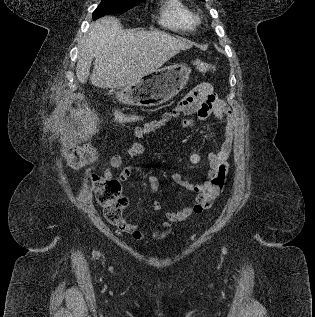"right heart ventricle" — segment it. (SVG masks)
<instances>
[{"mask_svg":"<svg viewBox=\"0 0 315 317\" xmlns=\"http://www.w3.org/2000/svg\"><path fill=\"white\" fill-rule=\"evenodd\" d=\"M160 22L175 31H193L197 26V15L183 0H162Z\"/></svg>","mask_w":315,"mask_h":317,"instance_id":"1","label":"right heart ventricle"}]
</instances>
